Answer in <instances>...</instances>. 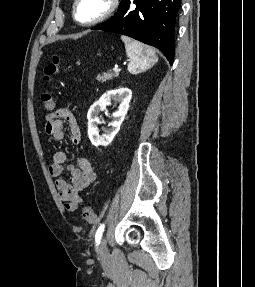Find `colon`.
<instances>
[{
    "mask_svg": "<svg viewBox=\"0 0 255 287\" xmlns=\"http://www.w3.org/2000/svg\"><path fill=\"white\" fill-rule=\"evenodd\" d=\"M60 68V57L58 55H53L50 62L44 68V80L51 83L58 75ZM42 101L44 108L52 112L55 109V100L51 93L45 92L42 95ZM82 217L87 222L94 224L97 222V215L91 206L85 205L82 209Z\"/></svg>",
    "mask_w": 255,
    "mask_h": 287,
    "instance_id": "5ec220e1",
    "label": "colon"
}]
</instances>
